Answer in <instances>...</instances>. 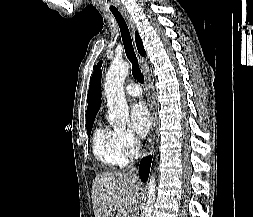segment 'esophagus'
<instances>
[{"instance_id":"obj_1","label":"esophagus","mask_w":253,"mask_h":217,"mask_svg":"<svg viewBox=\"0 0 253 217\" xmlns=\"http://www.w3.org/2000/svg\"><path fill=\"white\" fill-rule=\"evenodd\" d=\"M121 13L123 14L125 20L127 21L131 31L134 32L135 25L132 20V17L129 15V13L125 9H121ZM139 63L141 65V69H142L144 79H145V88L147 91L148 106H149L150 118H151V131H150L149 138L147 140L146 149L143 151V155H147L150 153V151L152 150L154 146L156 120H155V113H154V107H153L151 90H150V82H149V77L147 73V61L144 57L139 56Z\"/></svg>"}]
</instances>
